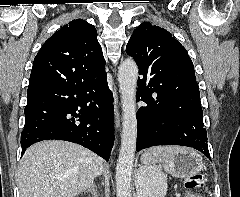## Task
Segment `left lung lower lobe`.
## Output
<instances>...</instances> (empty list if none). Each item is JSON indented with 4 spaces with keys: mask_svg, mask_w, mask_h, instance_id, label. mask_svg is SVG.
<instances>
[{
    "mask_svg": "<svg viewBox=\"0 0 240 197\" xmlns=\"http://www.w3.org/2000/svg\"><path fill=\"white\" fill-rule=\"evenodd\" d=\"M142 74V73H139ZM138 79L137 101L147 106L137 112V146L140 151L157 145L193 147L210 158L199 88L182 87L175 91L158 90L151 78ZM157 93L153 98L152 94Z\"/></svg>",
    "mask_w": 240,
    "mask_h": 197,
    "instance_id": "0a47b994",
    "label": "left lung lower lobe"
}]
</instances>
